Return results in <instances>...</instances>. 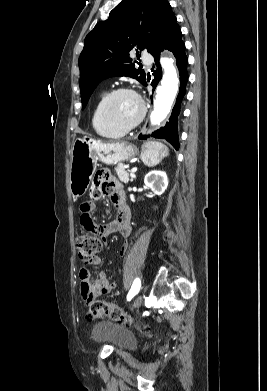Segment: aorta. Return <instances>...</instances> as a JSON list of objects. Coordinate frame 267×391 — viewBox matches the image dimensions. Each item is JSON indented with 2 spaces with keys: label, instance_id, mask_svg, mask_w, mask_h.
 Returning <instances> with one entry per match:
<instances>
[{
  "label": "aorta",
  "instance_id": "762f6f07",
  "mask_svg": "<svg viewBox=\"0 0 267 391\" xmlns=\"http://www.w3.org/2000/svg\"><path fill=\"white\" fill-rule=\"evenodd\" d=\"M173 58H162L163 77L156 90L154 109L150 115L152 125H159L168 115L179 88V78Z\"/></svg>",
  "mask_w": 267,
  "mask_h": 391
}]
</instances>
